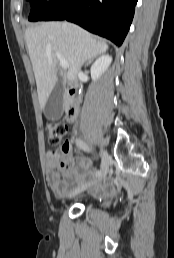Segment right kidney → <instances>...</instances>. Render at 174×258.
Wrapping results in <instances>:
<instances>
[{
  "instance_id": "obj_1",
  "label": "right kidney",
  "mask_w": 174,
  "mask_h": 258,
  "mask_svg": "<svg viewBox=\"0 0 174 258\" xmlns=\"http://www.w3.org/2000/svg\"><path fill=\"white\" fill-rule=\"evenodd\" d=\"M112 62V57L109 55H103L99 57L91 66V77L94 81L99 79L101 75L108 69Z\"/></svg>"
}]
</instances>
